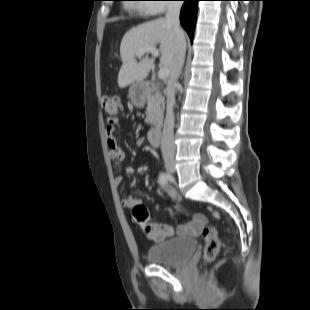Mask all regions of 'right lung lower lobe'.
<instances>
[{"label": "right lung lower lobe", "mask_w": 310, "mask_h": 310, "mask_svg": "<svg viewBox=\"0 0 310 310\" xmlns=\"http://www.w3.org/2000/svg\"><path fill=\"white\" fill-rule=\"evenodd\" d=\"M180 12V22L183 28L187 31L190 40H193L194 28L196 25V14L199 0H184Z\"/></svg>", "instance_id": "1"}]
</instances>
